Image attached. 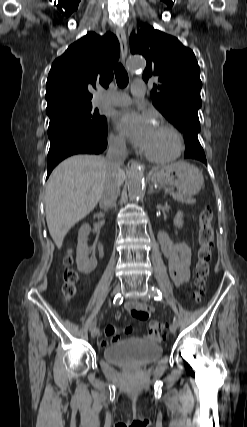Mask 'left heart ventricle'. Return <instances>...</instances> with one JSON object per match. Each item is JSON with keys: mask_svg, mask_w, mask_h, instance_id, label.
I'll list each match as a JSON object with an SVG mask.
<instances>
[{"mask_svg": "<svg viewBox=\"0 0 247 427\" xmlns=\"http://www.w3.org/2000/svg\"><path fill=\"white\" fill-rule=\"evenodd\" d=\"M173 148L174 139L172 135L165 129L156 127L144 150L153 155H167Z\"/></svg>", "mask_w": 247, "mask_h": 427, "instance_id": "obj_1", "label": "left heart ventricle"}]
</instances>
